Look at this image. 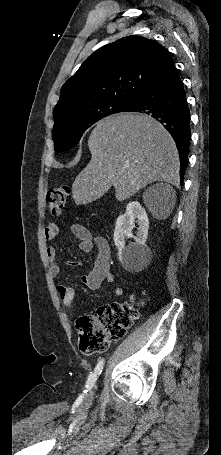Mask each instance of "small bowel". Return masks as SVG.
I'll return each mask as SVG.
<instances>
[{
	"label": "small bowel",
	"instance_id": "small-bowel-1",
	"mask_svg": "<svg viewBox=\"0 0 221 455\" xmlns=\"http://www.w3.org/2000/svg\"><path fill=\"white\" fill-rule=\"evenodd\" d=\"M71 231L79 239V249L82 252H90L94 245L97 247V255L94 262V267L89 273H82L80 279L90 290H97L103 282L113 283L114 276L110 271V246L104 237L94 238L90 231L81 224H73ZM45 237L48 241H52L57 237V226L50 224L45 229ZM46 258L49 262V274L52 277L59 276L61 267L57 262L58 252L54 246H49L46 249ZM69 267H81V262L70 261L67 263ZM58 294L61 299L63 309L66 313L71 314L74 312V290L65 284L57 286ZM114 294L116 296L123 295V288L115 286Z\"/></svg>",
	"mask_w": 221,
	"mask_h": 455
}]
</instances>
